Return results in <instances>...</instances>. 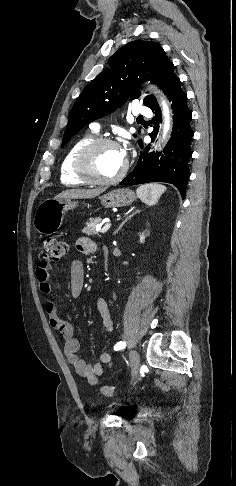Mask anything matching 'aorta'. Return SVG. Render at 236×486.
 I'll use <instances>...</instances> for the list:
<instances>
[{
  "instance_id": "762f6f07",
  "label": "aorta",
  "mask_w": 236,
  "mask_h": 486,
  "mask_svg": "<svg viewBox=\"0 0 236 486\" xmlns=\"http://www.w3.org/2000/svg\"><path fill=\"white\" fill-rule=\"evenodd\" d=\"M163 106V116H164V128H163V138L166 137L168 131L170 130V112L165 101H162Z\"/></svg>"
}]
</instances>
